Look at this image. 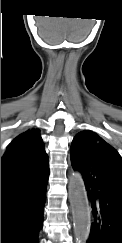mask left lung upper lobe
I'll list each match as a JSON object with an SVG mask.
<instances>
[{
    "instance_id": "5c2ea615",
    "label": "left lung upper lobe",
    "mask_w": 122,
    "mask_h": 243,
    "mask_svg": "<svg viewBox=\"0 0 122 243\" xmlns=\"http://www.w3.org/2000/svg\"><path fill=\"white\" fill-rule=\"evenodd\" d=\"M106 147L114 149L93 131L85 130L78 133L71 146L72 166L76 167L77 161L83 157L100 154Z\"/></svg>"
}]
</instances>
